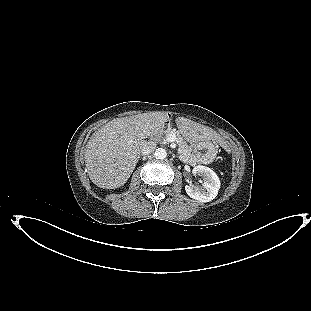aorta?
<instances>
[{"label": "aorta", "instance_id": "obj_1", "mask_svg": "<svg viewBox=\"0 0 311 311\" xmlns=\"http://www.w3.org/2000/svg\"><path fill=\"white\" fill-rule=\"evenodd\" d=\"M154 155H155L156 159H161L162 160V159L166 158L167 152H166V150L164 148H158V149H156Z\"/></svg>", "mask_w": 311, "mask_h": 311}]
</instances>
